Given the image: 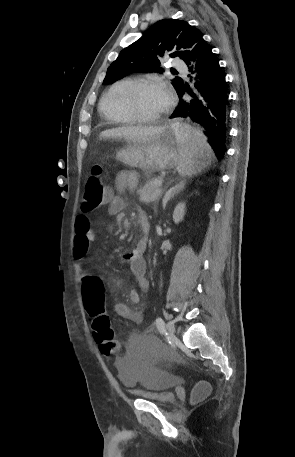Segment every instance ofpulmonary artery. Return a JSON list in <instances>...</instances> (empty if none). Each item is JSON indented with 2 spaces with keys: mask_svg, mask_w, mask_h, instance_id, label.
<instances>
[{
  "mask_svg": "<svg viewBox=\"0 0 295 457\" xmlns=\"http://www.w3.org/2000/svg\"><path fill=\"white\" fill-rule=\"evenodd\" d=\"M172 66H173L175 69L181 71L182 73H185V72H186V66H185L184 62L181 61V60L178 59V58L173 59V61H172Z\"/></svg>",
  "mask_w": 295,
  "mask_h": 457,
  "instance_id": "pulmonary-artery-1",
  "label": "pulmonary artery"
}]
</instances>
